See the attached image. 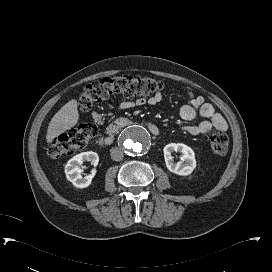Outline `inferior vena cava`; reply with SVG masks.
Wrapping results in <instances>:
<instances>
[{
    "label": "inferior vena cava",
    "instance_id": "inferior-vena-cava-1",
    "mask_svg": "<svg viewBox=\"0 0 272 272\" xmlns=\"http://www.w3.org/2000/svg\"><path fill=\"white\" fill-rule=\"evenodd\" d=\"M110 153L111 159L114 161H121L124 157L123 152L118 147H113Z\"/></svg>",
    "mask_w": 272,
    "mask_h": 272
}]
</instances>
